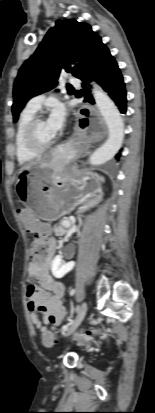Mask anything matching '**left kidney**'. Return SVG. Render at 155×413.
Returning <instances> with one entry per match:
<instances>
[{"label": "left kidney", "instance_id": "left-kidney-1", "mask_svg": "<svg viewBox=\"0 0 155 413\" xmlns=\"http://www.w3.org/2000/svg\"><path fill=\"white\" fill-rule=\"evenodd\" d=\"M75 266V262L65 263L61 255L55 256L51 264V272L55 278H62Z\"/></svg>", "mask_w": 155, "mask_h": 413}]
</instances>
